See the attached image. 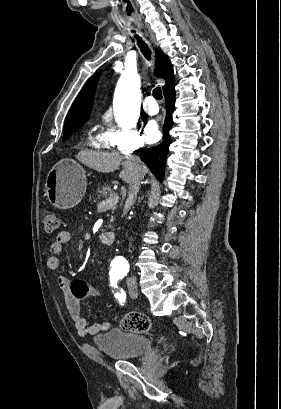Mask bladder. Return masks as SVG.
Returning a JSON list of instances; mask_svg holds the SVG:
<instances>
[{
    "instance_id": "31cf9c89",
    "label": "bladder",
    "mask_w": 281,
    "mask_h": 409,
    "mask_svg": "<svg viewBox=\"0 0 281 409\" xmlns=\"http://www.w3.org/2000/svg\"><path fill=\"white\" fill-rule=\"evenodd\" d=\"M93 343L98 352L114 361L134 360L154 352L148 336L118 327L108 328L94 336Z\"/></svg>"
}]
</instances>
